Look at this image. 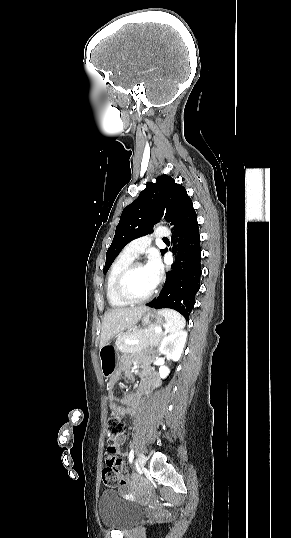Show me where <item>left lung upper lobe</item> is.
<instances>
[{
  "instance_id": "left-lung-upper-lobe-1",
  "label": "left lung upper lobe",
  "mask_w": 291,
  "mask_h": 538,
  "mask_svg": "<svg viewBox=\"0 0 291 538\" xmlns=\"http://www.w3.org/2000/svg\"><path fill=\"white\" fill-rule=\"evenodd\" d=\"M186 189L174 179L162 175L156 183H148L139 197L124 208L113 241L106 253V273L119 252L133 239L152 232L153 224L163 215L176 227L193 210ZM161 250V254H164Z\"/></svg>"
}]
</instances>
